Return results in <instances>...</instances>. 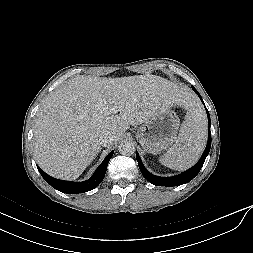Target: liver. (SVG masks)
Instances as JSON below:
<instances>
[{
    "label": "liver",
    "instance_id": "obj_1",
    "mask_svg": "<svg viewBox=\"0 0 253 253\" xmlns=\"http://www.w3.org/2000/svg\"><path fill=\"white\" fill-rule=\"evenodd\" d=\"M188 98L186 91L157 75L75 77L51 93L38 111L37 163L50 176L77 179L101 150L103 132L112 134L110 146L130 125L144 123L159 109L184 105Z\"/></svg>",
    "mask_w": 253,
    "mask_h": 253
}]
</instances>
